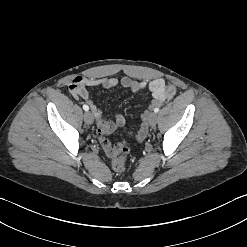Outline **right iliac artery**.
I'll return each instance as SVG.
<instances>
[{"label":"right iliac artery","mask_w":247,"mask_h":247,"mask_svg":"<svg viewBox=\"0 0 247 247\" xmlns=\"http://www.w3.org/2000/svg\"><path fill=\"white\" fill-rule=\"evenodd\" d=\"M83 109L85 110V111H88L89 110V107H88V105H83Z\"/></svg>","instance_id":"1"}]
</instances>
